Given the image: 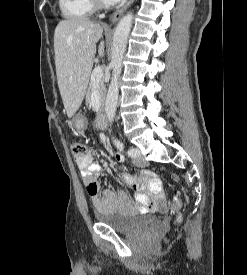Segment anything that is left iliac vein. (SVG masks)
I'll use <instances>...</instances> for the list:
<instances>
[{"instance_id": "1", "label": "left iliac vein", "mask_w": 247, "mask_h": 275, "mask_svg": "<svg viewBox=\"0 0 247 275\" xmlns=\"http://www.w3.org/2000/svg\"><path fill=\"white\" fill-rule=\"evenodd\" d=\"M136 152V157L134 158V164L139 167H145L147 162L144 158L141 157L140 149L137 147L132 148Z\"/></svg>"}]
</instances>
